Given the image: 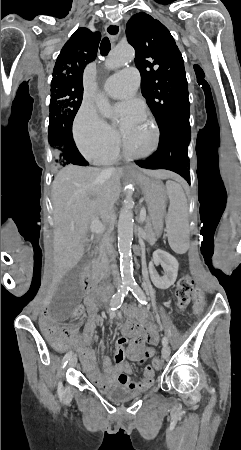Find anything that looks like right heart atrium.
Masks as SVG:
<instances>
[{"mask_svg":"<svg viewBox=\"0 0 241 450\" xmlns=\"http://www.w3.org/2000/svg\"><path fill=\"white\" fill-rule=\"evenodd\" d=\"M72 128L75 145L86 159L103 161L115 153L112 130L99 118L92 106H80Z\"/></svg>","mask_w":241,"mask_h":450,"instance_id":"obj_1","label":"right heart atrium"}]
</instances>
